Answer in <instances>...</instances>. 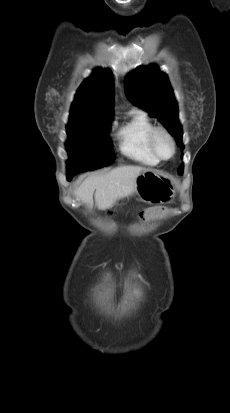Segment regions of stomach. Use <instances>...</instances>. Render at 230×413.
Returning a JSON list of instances; mask_svg holds the SVG:
<instances>
[{
    "label": "stomach",
    "instance_id": "0dacf381",
    "mask_svg": "<svg viewBox=\"0 0 230 413\" xmlns=\"http://www.w3.org/2000/svg\"><path fill=\"white\" fill-rule=\"evenodd\" d=\"M135 191L139 199L152 205L168 202L175 195L172 179L163 172L145 168L136 178Z\"/></svg>",
    "mask_w": 230,
    "mask_h": 413
}]
</instances>
